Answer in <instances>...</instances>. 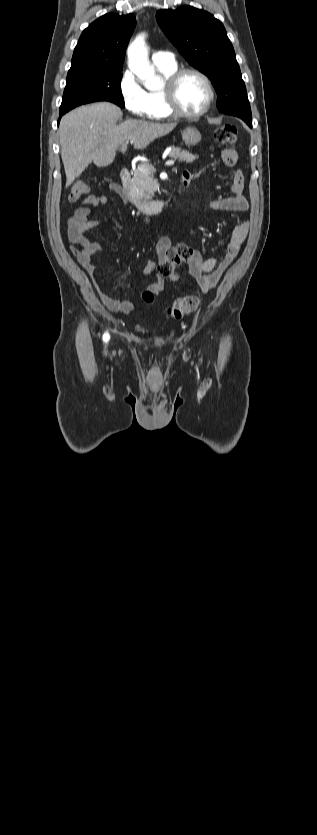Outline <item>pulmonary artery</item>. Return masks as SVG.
<instances>
[{"instance_id":"e3ab8cb5","label":"pulmonary artery","mask_w":317,"mask_h":835,"mask_svg":"<svg viewBox=\"0 0 317 835\" xmlns=\"http://www.w3.org/2000/svg\"><path fill=\"white\" fill-rule=\"evenodd\" d=\"M152 61L156 66H168L175 64L174 55L167 51L154 52L152 55Z\"/></svg>"}]
</instances>
